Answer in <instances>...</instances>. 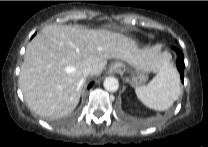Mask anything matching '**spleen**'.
<instances>
[{"instance_id": "obj_1", "label": "spleen", "mask_w": 208, "mask_h": 147, "mask_svg": "<svg viewBox=\"0 0 208 147\" xmlns=\"http://www.w3.org/2000/svg\"><path fill=\"white\" fill-rule=\"evenodd\" d=\"M138 99L147 107L163 111L170 108L181 93L176 68L166 60L157 75L146 85L135 88Z\"/></svg>"}]
</instances>
